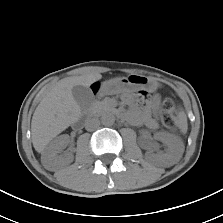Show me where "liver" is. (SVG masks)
I'll list each match as a JSON object with an SVG mask.
<instances>
[{"mask_svg":"<svg viewBox=\"0 0 223 223\" xmlns=\"http://www.w3.org/2000/svg\"><path fill=\"white\" fill-rule=\"evenodd\" d=\"M101 78L100 73L67 77L50 89L32 117V142L37 152L43 153L53 138L79 119L81 109L72 95V88L77 85L89 87Z\"/></svg>","mask_w":223,"mask_h":223,"instance_id":"liver-1","label":"liver"}]
</instances>
